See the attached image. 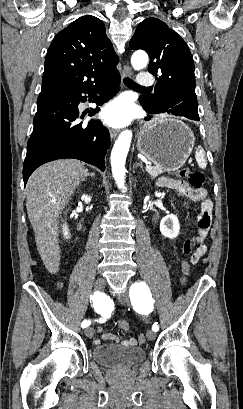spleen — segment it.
Masks as SVG:
<instances>
[{
	"mask_svg": "<svg viewBox=\"0 0 243 409\" xmlns=\"http://www.w3.org/2000/svg\"><path fill=\"white\" fill-rule=\"evenodd\" d=\"M195 159L198 163V166L202 169L207 166V159L205 157V152L201 146H198L195 152Z\"/></svg>",
	"mask_w": 243,
	"mask_h": 409,
	"instance_id": "spleen-1",
	"label": "spleen"
}]
</instances>
